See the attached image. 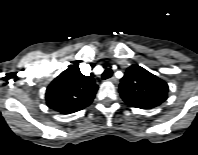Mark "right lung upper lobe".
Listing matches in <instances>:
<instances>
[{"instance_id": "1", "label": "right lung upper lobe", "mask_w": 198, "mask_h": 155, "mask_svg": "<svg viewBox=\"0 0 198 155\" xmlns=\"http://www.w3.org/2000/svg\"><path fill=\"white\" fill-rule=\"evenodd\" d=\"M98 86L92 76H84L77 65L70 66L56 77L46 90L49 108L70 114L87 107L94 99Z\"/></svg>"}]
</instances>
